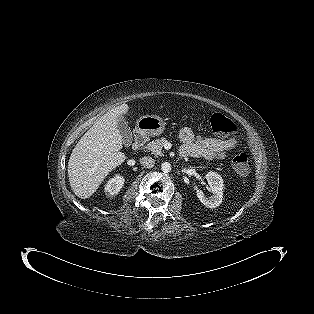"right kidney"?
Masks as SVG:
<instances>
[{"mask_svg": "<svg viewBox=\"0 0 314 314\" xmlns=\"http://www.w3.org/2000/svg\"><path fill=\"white\" fill-rule=\"evenodd\" d=\"M123 184L124 178L120 175H116L107 182V184L105 185V191L108 192L110 195L118 194Z\"/></svg>", "mask_w": 314, "mask_h": 314, "instance_id": "1", "label": "right kidney"}]
</instances>
